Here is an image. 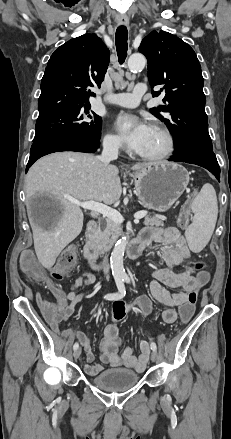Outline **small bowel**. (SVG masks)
Returning a JSON list of instances; mask_svg holds the SVG:
<instances>
[{"mask_svg":"<svg viewBox=\"0 0 231 439\" xmlns=\"http://www.w3.org/2000/svg\"><path fill=\"white\" fill-rule=\"evenodd\" d=\"M139 238L145 242L146 246L152 243L161 245V257L165 264L164 267L154 268L152 271L153 280L149 285L152 297L166 309L162 313L164 322L174 323L178 319L179 305L183 303L191 288L196 287V276L192 274V269L187 268L182 272L173 271L174 267L181 266L190 256V250L185 238L175 227L168 228H146ZM96 278L92 273H83L70 286L68 292L57 291L56 318L48 320L53 331L63 336H74L78 338L85 351L84 369L89 375H97L103 370L101 364L93 363L94 355L91 351L89 337L83 332H72L69 329L60 331L59 323L69 319L75 310L76 304L92 295V291L78 293L83 286L91 285ZM173 289L174 292H170ZM199 290V289H198ZM128 312H134L142 316L150 315L153 311V304L148 296H140L134 302L127 305ZM180 318V317H179ZM114 322H119L113 319ZM150 340L140 344L141 353L139 356L133 354L131 347H125L120 351L121 339L119 328L115 323L105 326L103 338L100 343L101 363L111 367L124 366L128 369L141 372L149 359Z\"/></svg>","mask_w":231,"mask_h":439,"instance_id":"c3829d8e","label":"small bowel"}]
</instances>
